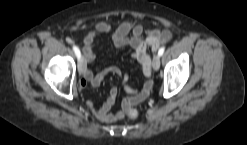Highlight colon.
<instances>
[{
  "label": "colon",
  "mask_w": 247,
  "mask_h": 145,
  "mask_svg": "<svg viewBox=\"0 0 247 145\" xmlns=\"http://www.w3.org/2000/svg\"><path fill=\"white\" fill-rule=\"evenodd\" d=\"M125 114L129 120H134L139 116V111L135 107L130 106L126 109Z\"/></svg>",
  "instance_id": "5ec220e1"
}]
</instances>
